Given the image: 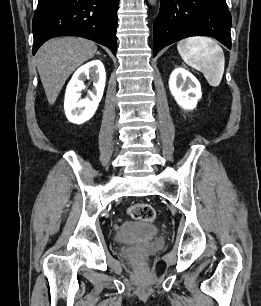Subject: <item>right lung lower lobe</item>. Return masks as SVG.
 <instances>
[{"instance_id":"98d812e1","label":"right lung lower lobe","mask_w":261,"mask_h":306,"mask_svg":"<svg viewBox=\"0 0 261 306\" xmlns=\"http://www.w3.org/2000/svg\"><path fill=\"white\" fill-rule=\"evenodd\" d=\"M119 0H39L33 17V55L48 39L74 35L116 54Z\"/></svg>"}]
</instances>
